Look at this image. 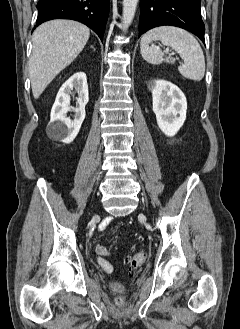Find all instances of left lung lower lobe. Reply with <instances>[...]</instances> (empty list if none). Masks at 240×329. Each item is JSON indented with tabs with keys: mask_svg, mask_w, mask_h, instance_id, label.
<instances>
[{
	"mask_svg": "<svg viewBox=\"0 0 240 329\" xmlns=\"http://www.w3.org/2000/svg\"><path fill=\"white\" fill-rule=\"evenodd\" d=\"M200 5V0H140L139 37L154 27L171 25L190 31L205 43Z\"/></svg>",
	"mask_w": 240,
	"mask_h": 329,
	"instance_id": "obj_1",
	"label": "left lung lower lobe"
}]
</instances>
